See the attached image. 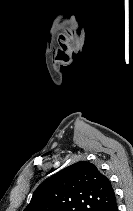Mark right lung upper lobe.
Masks as SVG:
<instances>
[{"label":"right lung upper lobe","instance_id":"1","mask_svg":"<svg viewBox=\"0 0 133 211\" xmlns=\"http://www.w3.org/2000/svg\"><path fill=\"white\" fill-rule=\"evenodd\" d=\"M116 204L109 179L80 161L40 184L24 211H110Z\"/></svg>","mask_w":133,"mask_h":211}]
</instances>
